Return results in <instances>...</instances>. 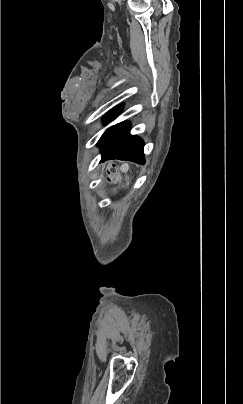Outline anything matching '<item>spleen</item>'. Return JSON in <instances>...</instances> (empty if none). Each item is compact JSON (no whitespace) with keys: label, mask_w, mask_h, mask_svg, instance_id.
Here are the masks:
<instances>
[{"label":"spleen","mask_w":243,"mask_h":404,"mask_svg":"<svg viewBox=\"0 0 243 404\" xmlns=\"http://www.w3.org/2000/svg\"><path fill=\"white\" fill-rule=\"evenodd\" d=\"M126 180H129V178H126ZM126 186H129V182H126Z\"/></svg>","instance_id":"3e777b00"}]
</instances>
